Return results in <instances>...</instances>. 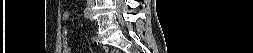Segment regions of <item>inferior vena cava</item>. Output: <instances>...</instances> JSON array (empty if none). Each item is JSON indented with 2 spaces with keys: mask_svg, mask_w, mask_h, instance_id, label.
Wrapping results in <instances>:
<instances>
[{
  "mask_svg": "<svg viewBox=\"0 0 253 53\" xmlns=\"http://www.w3.org/2000/svg\"><path fill=\"white\" fill-rule=\"evenodd\" d=\"M90 2H94V0H90Z\"/></svg>",
  "mask_w": 253,
  "mask_h": 53,
  "instance_id": "inferior-vena-cava-1",
  "label": "inferior vena cava"
}]
</instances>
